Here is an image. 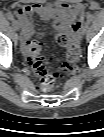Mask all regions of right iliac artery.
<instances>
[{
  "label": "right iliac artery",
  "mask_w": 104,
  "mask_h": 137,
  "mask_svg": "<svg viewBox=\"0 0 104 137\" xmlns=\"http://www.w3.org/2000/svg\"><path fill=\"white\" fill-rule=\"evenodd\" d=\"M6 16H7V18H8L9 20H13V19H14V17H13V15H12L11 12H8V13L6 14Z\"/></svg>",
  "instance_id": "right-iliac-artery-1"
}]
</instances>
